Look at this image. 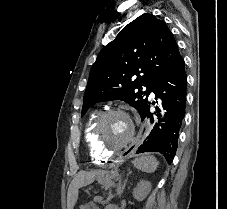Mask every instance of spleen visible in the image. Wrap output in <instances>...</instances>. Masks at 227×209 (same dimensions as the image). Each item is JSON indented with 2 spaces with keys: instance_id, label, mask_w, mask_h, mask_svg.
Listing matches in <instances>:
<instances>
[{
  "instance_id": "1",
  "label": "spleen",
  "mask_w": 227,
  "mask_h": 209,
  "mask_svg": "<svg viewBox=\"0 0 227 209\" xmlns=\"http://www.w3.org/2000/svg\"><path fill=\"white\" fill-rule=\"evenodd\" d=\"M132 163L136 169H140L144 173H154L159 165L156 157H153V155H142V157L134 159Z\"/></svg>"
}]
</instances>
